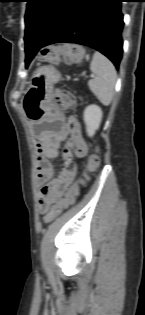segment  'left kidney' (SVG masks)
I'll use <instances>...</instances> for the list:
<instances>
[{
  "mask_svg": "<svg viewBox=\"0 0 145 315\" xmlns=\"http://www.w3.org/2000/svg\"><path fill=\"white\" fill-rule=\"evenodd\" d=\"M102 110L97 105H89L84 110V122L86 124V132L88 136L92 137L95 131L99 128L102 120Z\"/></svg>",
  "mask_w": 145,
  "mask_h": 315,
  "instance_id": "1",
  "label": "left kidney"
}]
</instances>
